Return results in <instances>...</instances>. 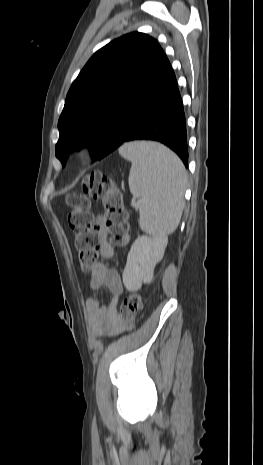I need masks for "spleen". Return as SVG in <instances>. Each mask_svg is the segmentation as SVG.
<instances>
[{
	"instance_id": "spleen-1",
	"label": "spleen",
	"mask_w": 263,
	"mask_h": 465,
	"mask_svg": "<svg viewBox=\"0 0 263 465\" xmlns=\"http://www.w3.org/2000/svg\"><path fill=\"white\" fill-rule=\"evenodd\" d=\"M130 160L129 188L142 199L139 226L154 237L173 233L182 216L185 167L179 157L164 146L150 142H131L119 148Z\"/></svg>"
}]
</instances>
